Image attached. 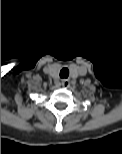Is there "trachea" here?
Returning a JSON list of instances; mask_svg holds the SVG:
<instances>
[{
  "label": "trachea",
  "instance_id": "1",
  "mask_svg": "<svg viewBox=\"0 0 122 154\" xmlns=\"http://www.w3.org/2000/svg\"><path fill=\"white\" fill-rule=\"evenodd\" d=\"M68 76H69L68 68H62L60 71V77L61 78H68Z\"/></svg>",
  "mask_w": 122,
  "mask_h": 154
}]
</instances>
